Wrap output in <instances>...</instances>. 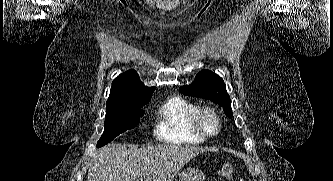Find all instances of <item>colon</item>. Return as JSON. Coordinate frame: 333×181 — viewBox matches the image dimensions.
Masks as SVG:
<instances>
[{
	"label": "colon",
	"instance_id": "5ec220e1",
	"mask_svg": "<svg viewBox=\"0 0 333 181\" xmlns=\"http://www.w3.org/2000/svg\"><path fill=\"white\" fill-rule=\"evenodd\" d=\"M221 174L227 181H237L232 163H225L221 168Z\"/></svg>",
	"mask_w": 333,
	"mask_h": 181
}]
</instances>
